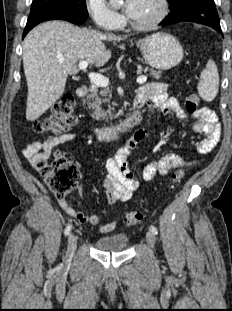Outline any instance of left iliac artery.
Returning <instances> with one entry per match:
<instances>
[{"mask_svg": "<svg viewBox=\"0 0 232 311\" xmlns=\"http://www.w3.org/2000/svg\"><path fill=\"white\" fill-rule=\"evenodd\" d=\"M150 230H151V232L154 233V234H157V233H158L157 228H156L155 226H153V225L150 227Z\"/></svg>", "mask_w": 232, "mask_h": 311, "instance_id": "left-iliac-artery-1", "label": "left iliac artery"}]
</instances>
